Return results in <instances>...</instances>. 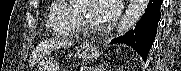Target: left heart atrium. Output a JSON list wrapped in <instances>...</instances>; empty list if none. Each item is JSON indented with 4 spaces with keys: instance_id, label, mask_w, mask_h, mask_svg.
<instances>
[{
    "instance_id": "obj_1",
    "label": "left heart atrium",
    "mask_w": 181,
    "mask_h": 71,
    "mask_svg": "<svg viewBox=\"0 0 181 71\" xmlns=\"http://www.w3.org/2000/svg\"><path fill=\"white\" fill-rule=\"evenodd\" d=\"M99 20L101 23H109L116 18L119 13L118 0H102Z\"/></svg>"
}]
</instances>
